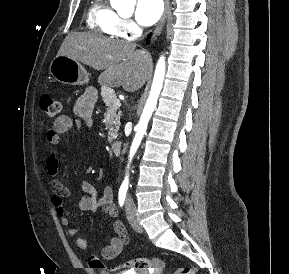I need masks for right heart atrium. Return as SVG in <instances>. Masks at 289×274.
<instances>
[{
	"label": "right heart atrium",
	"mask_w": 289,
	"mask_h": 274,
	"mask_svg": "<svg viewBox=\"0 0 289 274\" xmlns=\"http://www.w3.org/2000/svg\"><path fill=\"white\" fill-rule=\"evenodd\" d=\"M117 26L120 36L125 38H134L140 32L139 27L129 18H120Z\"/></svg>",
	"instance_id": "right-heart-atrium-1"
}]
</instances>
